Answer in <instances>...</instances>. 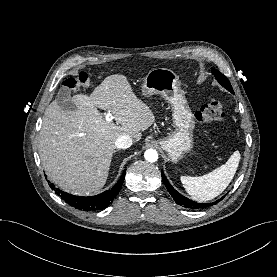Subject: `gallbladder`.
I'll return each mask as SVG.
<instances>
[{"label":"gallbladder","mask_w":277,"mask_h":277,"mask_svg":"<svg viewBox=\"0 0 277 277\" xmlns=\"http://www.w3.org/2000/svg\"><path fill=\"white\" fill-rule=\"evenodd\" d=\"M56 101L61 109L65 111L75 110L76 107L70 98V90L68 88L62 87L56 97Z\"/></svg>","instance_id":"1"}]
</instances>
